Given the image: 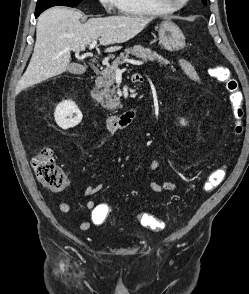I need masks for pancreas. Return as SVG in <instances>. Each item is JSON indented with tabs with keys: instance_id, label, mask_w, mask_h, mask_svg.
<instances>
[{
	"instance_id": "1",
	"label": "pancreas",
	"mask_w": 249,
	"mask_h": 294,
	"mask_svg": "<svg viewBox=\"0 0 249 294\" xmlns=\"http://www.w3.org/2000/svg\"><path fill=\"white\" fill-rule=\"evenodd\" d=\"M130 54L144 61L157 60L162 65L169 64V61L164 59L161 55H158L155 51L144 48L141 45H135L133 48L126 49L124 53H121L120 56L113 61L111 66H107L103 69L100 72L101 76H98L96 79L97 95L103 107L110 111L123 107L120 98L115 94V74L116 68H118L122 61L126 60Z\"/></svg>"
}]
</instances>
